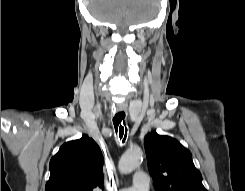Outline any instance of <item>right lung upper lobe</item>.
Returning <instances> with one entry per match:
<instances>
[{
    "mask_svg": "<svg viewBox=\"0 0 245 191\" xmlns=\"http://www.w3.org/2000/svg\"><path fill=\"white\" fill-rule=\"evenodd\" d=\"M45 191H93L103 189V158L88 136L63 144L50 161Z\"/></svg>",
    "mask_w": 245,
    "mask_h": 191,
    "instance_id": "right-lung-upper-lobe-1",
    "label": "right lung upper lobe"
}]
</instances>
